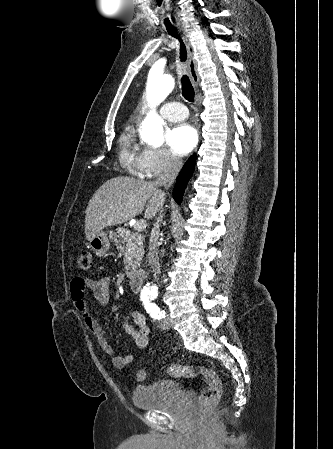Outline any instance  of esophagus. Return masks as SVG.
Masks as SVG:
<instances>
[{"label":"esophagus","mask_w":333,"mask_h":449,"mask_svg":"<svg viewBox=\"0 0 333 449\" xmlns=\"http://www.w3.org/2000/svg\"><path fill=\"white\" fill-rule=\"evenodd\" d=\"M182 39L187 48V70L192 84L197 88L199 84V74L197 71V62L194 58L193 48L191 45L189 34L185 30H180Z\"/></svg>","instance_id":"34e87169"}]
</instances>
